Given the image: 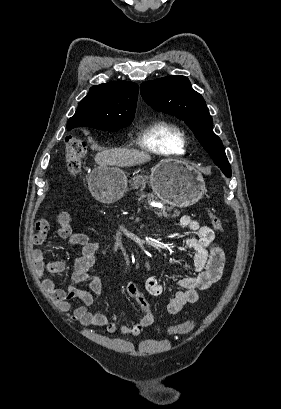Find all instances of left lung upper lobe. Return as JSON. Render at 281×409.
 Wrapping results in <instances>:
<instances>
[{"label":"left lung upper lobe","mask_w":281,"mask_h":409,"mask_svg":"<svg viewBox=\"0 0 281 409\" xmlns=\"http://www.w3.org/2000/svg\"><path fill=\"white\" fill-rule=\"evenodd\" d=\"M140 91L143 99L153 109L184 120L214 163L225 176L231 177V166L221 140L213 132V120L206 103L192 89L187 77L168 76L144 82Z\"/></svg>","instance_id":"left-lung-upper-lobe-1"}]
</instances>
